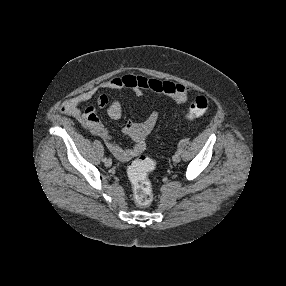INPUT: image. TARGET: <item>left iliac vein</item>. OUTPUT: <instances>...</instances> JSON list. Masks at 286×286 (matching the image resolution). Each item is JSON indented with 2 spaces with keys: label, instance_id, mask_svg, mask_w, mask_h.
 I'll return each instance as SVG.
<instances>
[{
  "label": "left iliac vein",
  "instance_id": "1",
  "mask_svg": "<svg viewBox=\"0 0 286 286\" xmlns=\"http://www.w3.org/2000/svg\"><path fill=\"white\" fill-rule=\"evenodd\" d=\"M180 156L179 155H177V154H175L173 157H172V160L174 161V162H176V163H178L179 161H180Z\"/></svg>",
  "mask_w": 286,
  "mask_h": 286
}]
</instances>
